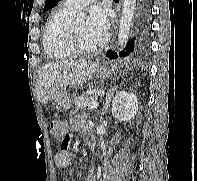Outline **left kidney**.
Instances as JSON below:
<instances>
[{"mask_svg":"<svg viewBox=\"0 0 197 181\" xmlns=\"http://www.w3.org/2000/svg\"><path fill=\"white\" fill-rule=\"evenodd\" d=\"M138 99L135 94L120 91L116 94L112 103V114L120 121L134 119L138 111Z\"/></svg>","mask_w":197,"mask_h":181,"instance_id":"1","label":"left kidney"}]
</instances>
